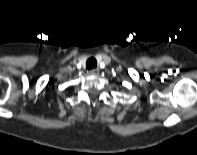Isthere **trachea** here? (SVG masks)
Returning <instances> with one entry per match:
<instances>
[{"instance_id":"trachea-1","label":"trachea","mask_w":197,"mask_h":155,"mask_svg":"<svg viewBox=\"0 0 197 155\" xmlns=\"http://www.w3.org/2000/svg\"><path fill=\"white\" fill-rule=\"evenodd\" d=\"M97 66V62L94 58H89L86 62L87 69H92Z\"/></svg>"}]
</instances>
